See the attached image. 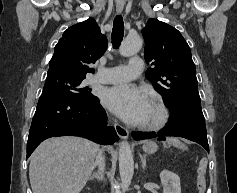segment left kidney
Listing matches in <instances>:
<instances>
[{
	"mask_svg": "<svg viewBox=\"0 0 237 193\" xmlns=\"http://www.w3.org/2000/svg\"><path fill=\"white\" fill-rule=\"evenodd\" d=\"M163 193H181L180 178L177 174L163 170L160 173Z\"/></svg>",
	"mask_w": 237,
	"mask_h": 193,
	"instance_id": "obj_1",
	"label": "left kidney"
}]
</instances>
